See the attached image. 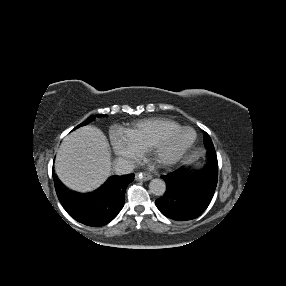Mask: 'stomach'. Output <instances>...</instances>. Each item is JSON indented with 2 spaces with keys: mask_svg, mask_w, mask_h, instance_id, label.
<instances>
[{
  "mask_svg": "<svg viewBox=\"0 0 286 286\" xmlns=\"http://www.w3.org/2000/svg\"><path fill=\"white\" fill-rule=\"evenodd\" d=\"M201 154L199 152H195L187 161V163H193L200 158Z\"/></svg>",
  "mask_w": 286,
  "mask_h": 286,
  "instance_id": "stomach-1",
  "label": "stomach"
}]
</instances>
